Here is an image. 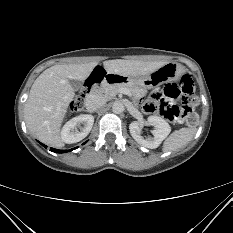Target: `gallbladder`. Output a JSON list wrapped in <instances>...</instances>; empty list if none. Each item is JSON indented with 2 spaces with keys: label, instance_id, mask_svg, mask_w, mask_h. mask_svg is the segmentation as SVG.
I'll list each match as a JSON object with an SVG mask.
<instances>
[{
  "label": "gallbladder",
  "instance_id": "obj_1",
  "mask_svg": "<svg viewBox=\"0 0 233 233\" xmlns=\"http://www.w3.org/2000/svg\"><path fill=\"white\" fill-rule=\"evenodd\" d=\"M70 84L73 88V90L77 91V90H81L83 85L80 81H76V80H71Z\"/></svg>",
  "mask_w": 233,
  "mask_h": 233
}]
</instances>
